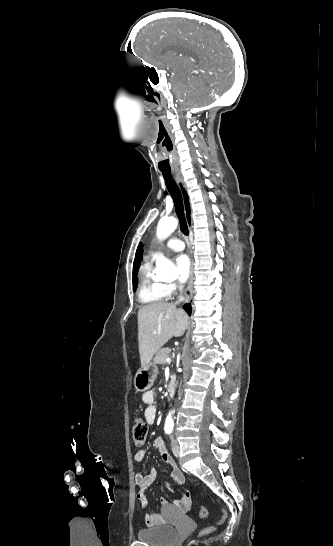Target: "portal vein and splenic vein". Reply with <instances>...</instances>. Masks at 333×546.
<instances>
[{"instance_id": "portal-vein-and-splenic-vein-1", "label": "portal vein and splenic vein", "mask_w": 333, "mask_h": 546, "mask_svg": "<svg viewBox=\"0 0 333 546\" xmlns=\"http://www.w3.org/2000/svg\"><path fill=\"white\" fill-rule=\"evenodd\" d=\"M166 361H167V362H170V361H171V359H170L169 357H167V358H166Z\"/></svg>"}]
</instances>
